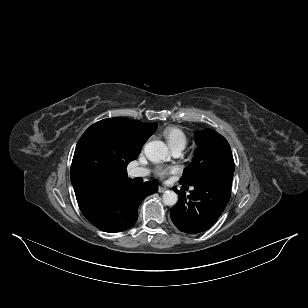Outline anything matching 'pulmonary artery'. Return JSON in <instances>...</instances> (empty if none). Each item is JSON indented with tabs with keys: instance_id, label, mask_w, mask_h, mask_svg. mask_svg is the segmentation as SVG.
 <instances>
[{
	"instance_id": "e3ab8cb5",
	"label": "pulmonary artery",
	"mask_w": 308,
	"mask_h": 308,
	"mask_svg": "<svg viewBox=\"0 0 308 308\" xmlns=\"http://www.w3.org/2000/svg\"><path fill=\"white\" fill-rule=\"evenodd\" d=\"M171 150L175 156H178L182 152L183 148L174 147V148H171ZM148 174H149V169L145 167H134L129 171V175L131 177H144Z\"/></svg>"
}]
</instances>
